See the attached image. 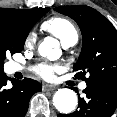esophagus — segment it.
Returning a JSON list of instances; mask_svg holds the SVG:
<instances>
[{"instance_id":"esophagus-1","label":"esophagus","mask_w":117,"mask_h":117,"mask_svg":"<svg viewBox=\"0 0 117 117\" xmlns=\"http://www.w3.org/2000/svg\"><path fill=\"white\" fill-rule=\"evenodd\" d=\"M56 86L54 85H49V84H44L43 85V90L45 91H53V90H56Z\"/></svg>"}]
</instances>
